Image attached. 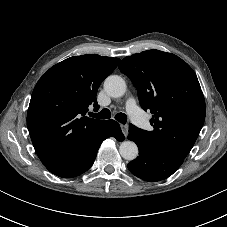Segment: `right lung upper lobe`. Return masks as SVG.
<instances>
[{"label":"right lung upper lobe","instance_id":"obj_1","mask_svg":"<svg viewBox=\"0 0 227 227\" xmlns=\"http://www.w3.org/2000/svg\"><path fill=\"white\" fill-rule=\"evenodd\" d=\"M119 58L87 54L51 67L37 82L29 104L27 125L34 149L55 173L73 161L107 125L86 116L98 107L97 89L117 67Z\"/></svg>","mask_w":227,"mask_h":227}]
</instances>
